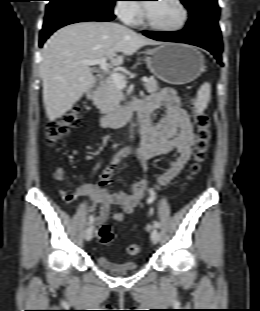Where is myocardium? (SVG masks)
Returning <instances> with one entry per match:
<instances>
[{
	"label": "myocardium",
	"mask_w": 260,
	"mask_h": 311,
	"mask_svg": "<svg viewBox=\"0 0 260 311\" xmlns=\"http://www.w3.org/2000/svg\"><path fill=\"white\" fill-rule=\"evenodd\" d=\"M173 1L178 5V7L180 8V10L182 12L181 20L177 25L171 26V27H163V26H159V25L154 24L148 17L146 6H143V8H142L143 23L147 27H149L155 31L164 32V33H173V32H178V31H181L182 29H184L188 23V20H189L188 8L186 7L183 0H173Z\"/></svg>",
	"instance_id": "1"
}]
</instances>
